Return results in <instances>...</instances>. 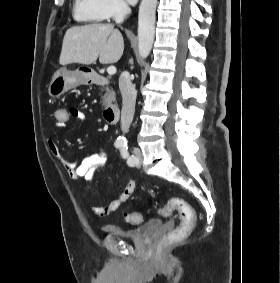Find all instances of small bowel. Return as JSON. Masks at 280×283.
I'll list each match as a JSON object with an SVG mask.
<instances>
[{
    "label": "small bowel",
    "instance_id": "c3829d8e",
    "mask_svg": "<svg viewBox=\"0 0 280 283\" xmlns=\"http://www.w3.org/2000/svg\"><path fill=\"white\" fill-rule=\"evenodd\" d=\"M68 115L69 118L73 117L77 121H86L85 114L77 108L68 109ZM65 125L66 123L56 122V126L58 128H63ZM47 146L54 156L61 159L65 171L73 180L84 179L86 181H90L94 173L102 168L107 160L106 153L103 150H100L97 153L83 157L79 162H73L62 157L60 148L53 138L49 137L47 139ZM135 188L136 183L134 181H130L117 199L112 200L106 206H99L94 203H89L88 208L95 216H109L117 211L119 207L131 197L135 191Z\"/></svg>",
    "mask_w": 280,
    "mask_h": 283
}]
</instances>
